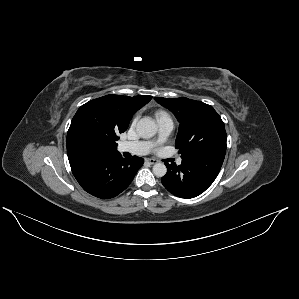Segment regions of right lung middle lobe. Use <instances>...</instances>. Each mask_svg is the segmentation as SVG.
Returning <instances> with one entry per match:
<instances>
[{
    "instance_id": "obj_1",
    "label": "right lung middle lobe",
    "mask_w": 299,
    "mask_h": 299,
    "mask_svg": "<svg viewBox=\"0 0 299 299\" xmlns=\"http://www.w3.org/2000/svg\"><path fill=\"white\" fill-rule=\"evenodd\" d=\"M117 133L110 129L97 125L89 126L85 132V137L89 147L93 151H117Z\"/></svg>"
}]
</instances>
